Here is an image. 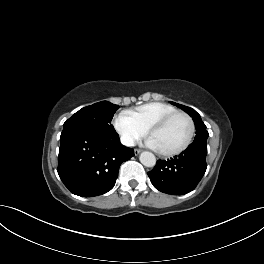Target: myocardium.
Returning a JSON list of instances; mask_svg holds the SVG:
<instances>
[{
  "label": "myocardium",
  "mask_w": 264,
  "mask_h": 264,
  "mask_svg": "<svg viewBox=\"0 0 264 264\" xmlns=\"http://www.w3.org/2000/svg\"><path fill=\"white\" fill-rule=\"evenodd\" d=\"M184 117L190 126V130H189V134L185 140V142L180 145L179 147L172 149V150H168V151H161L158 150V152L161 155L164 156H174V155H178L182 152H184L192 143L194 135H195V123L193 118L186 112L183 111H175L165 117H163L162 119H160L158 122H156L149 130H148V135L152 136L155 132L163 129L172 119L176 118V117Z\"/></svg>",
  "instance_id": "myocardium-1"
}]
</instances>
